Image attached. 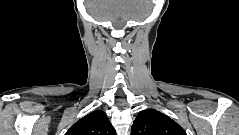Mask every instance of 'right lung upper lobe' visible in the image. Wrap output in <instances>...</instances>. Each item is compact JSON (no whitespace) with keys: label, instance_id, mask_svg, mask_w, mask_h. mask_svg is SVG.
<instances>
[{"label":"right lung upper lobe","instance_id":"obj_1","mask_svg":"<svg viewBox=\"0 0 239 135\" xmlns=\"http://www.w3.org/2000/svg\"><path fill=\"white\" fill-rule=\"evenodd\" d=\"M65 135H116L102 110L93 111L78 120Z\"/></svg>","mask_w":239,"mask_h":135}]
</instances>
